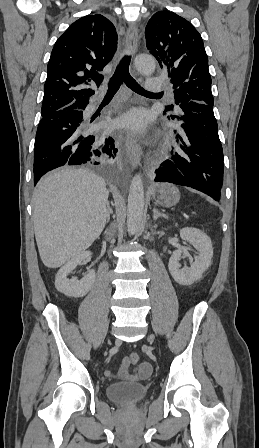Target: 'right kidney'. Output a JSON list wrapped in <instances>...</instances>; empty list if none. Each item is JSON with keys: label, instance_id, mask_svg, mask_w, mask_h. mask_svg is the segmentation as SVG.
Listing matches in <instances>:
<instances>
[{"label": "right kidney", "instance_id": "1", "mask_svg": "<svg viewBox=\"0 0 259 448\" xmlns=\"http://www.w3.org/2000/svg\"><path fill=\"white\" fill-rule=\"evenodd\" d=\"M91 256L92 252H81L60 268L55 278V288L58 292L65 294V296H73V298H83L88 294L95 282V270H90L89 274H86L81 280H75V278L69 280L68 276L72 270H75L76 266H79Z\"/></svg>", "mask_w": 259, "mask_h": 448}]
</instances>
